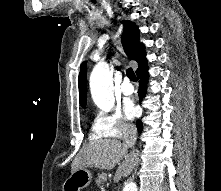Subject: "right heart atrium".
Listing matches in <instances>:
<instances>
[{
  "label": "right heart atrium",
  "mask_w": 221,
  "mask_h": 191,
  "mask_svg": "<svg viewBox=\"0 0 221 191\" xmlns=\"http://www.w3.org/2000/svg\"><path fill=\"white\" fill-rule=\"evenodd\" d=\"M133 131V125L126 120L118 109L112 112H98L91 126V135L96 139H123L132 134Z\"/></svg>",
  "instance_id": "1"
}]
</instances>
